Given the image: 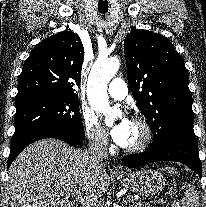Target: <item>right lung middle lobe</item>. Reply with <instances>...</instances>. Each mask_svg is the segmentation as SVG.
Segmentation results:
<instances>
[{
	"label": "right lung middle lobe",
	"mask_w": 206,
	"mask_h": 207,
	"mask_svg": "<svg viewBox=\"0 0 206 207\" xmlns=\"http://www.w3.org/2000/svg\"><path fill=\"white\" fill-rule=\"evenodd\" d=\"M16 101L13 141L42 129H59L84 136L77 97L33 95Z\"/></svg>",
	"instance_id": "1"
}]
</instances>
